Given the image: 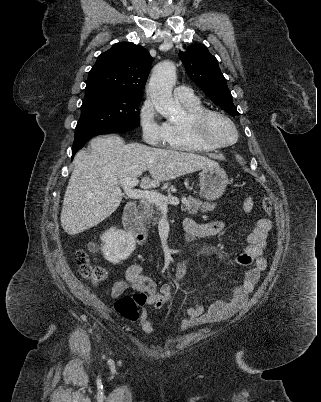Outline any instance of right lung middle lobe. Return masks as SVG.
Wrapping results in <instances>:
<instances>
[{
	"label": "right lung middle lobe",
	"instance_id": "obj_1",
	"mask_svg": "<svg viewBox=\"0 0 321 402\" xmlns=\"http://www.w3.org/2000/svg\"><path fill=\"white\" fill-rule=\"evenodd\" d=\"M141 98L106 90H85L75 131L108 126L138 127Z\"/></svg>",
	"mask_w": 321,
	"mask_h": 402
}]
</instances>
